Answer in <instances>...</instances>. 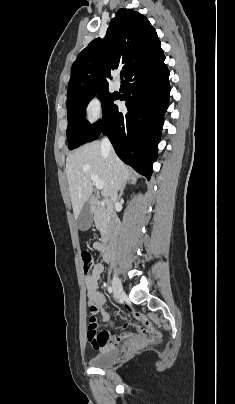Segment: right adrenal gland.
Here are the masks:
<instances>
[{"instance_id":"2a0ac1e0","label":"right adrenal gland","mask_w":235,"mask_h":404,"mask_svg":"<svg viewBox=\"0 0 235 404\" xmlns=\"http://www.w3.org/2000/svg\"><path fill=\"white\" fill-rule=\"evenodd\" d=\"M136 182H137V179H136L135 177H133V176L130 177L129 180H128V184H133V185H135ZM124 189H125V185L122 187V189H121V191H120V194H119V197L122 196Z\"/></svg>"}]
</instances>
